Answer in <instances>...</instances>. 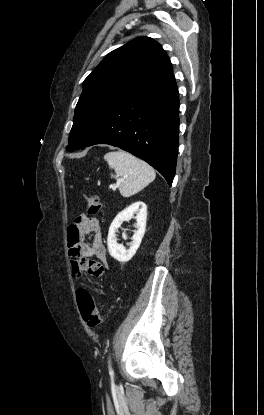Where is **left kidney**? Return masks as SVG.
Wrapping results in <instances>:
<instances>
[{"instance_id": "5707ae66", "label": "left kidney", "mask_w": 264, "mask_h": 415, "mask_svg": "<svg viewBox=\"0 0 264 415\" xmlns=\"http://www.w3.org/2000/svg\"><path fill=\"white\" fill-rule=\"evenodd\" d=\"M136 214V230L132 236V242L129 249H126L122 244L117 242L116 232L120 228L121 224L131 219ZM147 220V206L144 202H135L121 211L113 220L110 225L107 245L110 255L119 262H127L135 255L139 248L142 238L145 233ZM122 237L126 239L125 233Z\"/></svg>"}]
</instances>
